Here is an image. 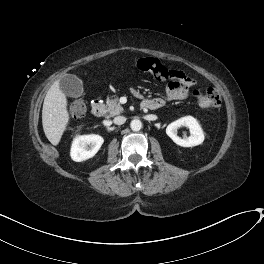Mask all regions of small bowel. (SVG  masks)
I'll use <instances>...</instances> for the list:
<instances>
[{"instance_id": "c3829d8e", "label": "small bowel", "mask_w": 264, "mask_h": 264, "mask_svg": "<svg viewBox=\"0 0 264 264\" xmlns=\"http://www.w3.org/2000/svg\"><path fill=\"white\" fill-rule=\"evenodd\" d=\"M172 78L168 82L166 87V96L165 98H151L145 99L141 103V107H145L147 110H156L163 107L167 100H180L187 97L188 87L192 84L185 77L184 73L180 70L172 71ZM181 81H186L185 85L181 84ZM133 95L137 98H142V95L139 91L133 90Z\"/></svg>"}]
</instances>
